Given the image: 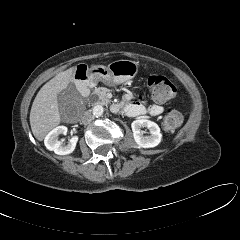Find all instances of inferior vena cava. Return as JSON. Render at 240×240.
Segmentation results:
<instances>
[{
	"instance_id": "inferior-vena-cava-1",
	"label": "inferior vena cava",
	"mask_w": 240,
	"mask_h": 240,
	"mask_svg": "<svg viewBox=\"0 0 240 240\" xmlns=\"http://www.w3.org/2000/svg\"><path fill=\"white\" fill-rule=\"evenodd\" d=\"M94 119V115L92 114L91 110H88L82 116L81 122L83 124H89Z\"/></svg>"
}]
</instances>
